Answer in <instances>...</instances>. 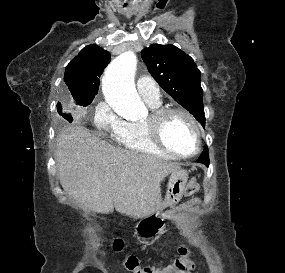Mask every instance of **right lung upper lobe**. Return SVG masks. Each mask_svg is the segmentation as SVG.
<instances>
[{"instance_id":"cb5924a9","label":"right lung upper lobe","mask_w":285,"mask_h":273,"mask_svg":"<svg viewBox=\"0 0 285 273\" xmlns=\"http://www.w3.org/2000/svg\"><path fill=\"white\" fill-rule=\"evenodd\" d=\"M110 59L106 50L88 45L67 65L64 81L77 104L94 99L100 84L99 77Z\"/></svg>"}]
</instances>
